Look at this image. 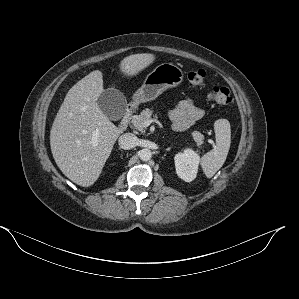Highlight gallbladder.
I'll list each match as a JSON object with an SVG mask.
<instances>
[{
    "mask_svg": "<svg viewBox=\"0 0 299 299\" xmlns=\"http://www.w3.org/2000/svg\"><path fill=\"white\" fill-rule=\"evenodd\" d=\"M97 104L110 120H119L125 113L127 101L122 92L108 88L100 94Z\"/></svg>",
    "mask_w": 299,
    "mask_h": 299,
    "instance_id": "obj_1",
    "label": "gallbladder"
}]
</instances>
